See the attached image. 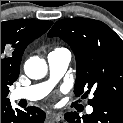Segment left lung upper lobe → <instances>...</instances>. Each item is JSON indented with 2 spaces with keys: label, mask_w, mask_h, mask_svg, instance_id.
<instances>
[{
  "label": "left lung upper lobe",
  "mask_w": 123,
  "mask_h": 123,
  "mask_svg": "<svg viewBox=\"0 0 123 123\" xmlns=\"http://www.w3.org/2000/svg\"><path fill=\"white\" fill-rule=\"evenodd\" d=\"M67 42L76 56L74 92L94 91L91 106L104 101L123 104V41L106 24L86 18H68L55 23L48 37Z\"/></svg>",
  "instance_id": "1"
}]
</instances>
